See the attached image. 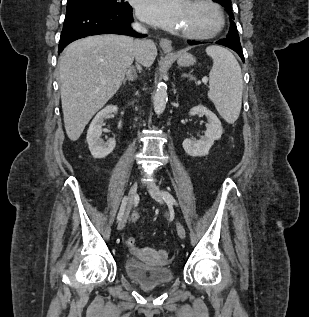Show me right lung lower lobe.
Segmentation results:
<instances>
[{
  "label": "right lung lower lobe",
  "mask_w": 309,
  "mask_h": 317,
  "mask_svg": "<svg viewBox=\"0 0 309 317\" xmlns=\"http://www.w3.org/2000/svg\"><path fill=\"white\" fill-rule=\"evenodd\" d=\"M132 9L119 11L86 5H67L58 54L71 42L89 35L123 34L142 37L130 27Z\"/></svg>",
  "instance_id": "98d812e1"
}]
</instances>
